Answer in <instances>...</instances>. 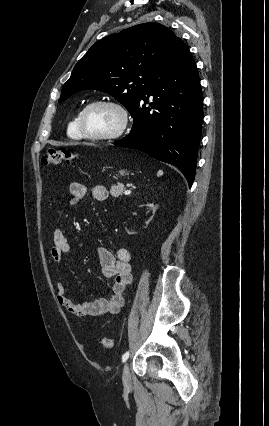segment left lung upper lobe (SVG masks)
Instances as JSON below:
<instances>
[{
  "instance_id": "1",
  "label": "left lung upper lobe",
  "mask_w": 269,
  "mask_h": 426,
  "mask_svg": "<svg viewBox=\"0 0 269 426\" xmlns=\"http://www.w3.org/2000/svg\"><path fill=\"white\" fill-rule=\"evenodd\" d=\"M178 37L166 26L143 23L96 42L74 67L59 102L95 89L130 112L149 88V78Z\"/></svg>"
}]
</instances>
